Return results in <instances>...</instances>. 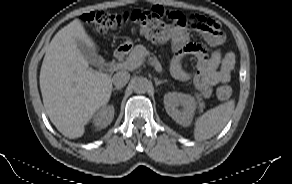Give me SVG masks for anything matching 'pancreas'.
<instances>
[{"label":"pancreas","mask_w":292,"mask_h":184,"mask_svg":"<svg viewBox=\"0 0 292 184\" xmlns=\"http://www.w3.org/2000/svg\"><path fill=\"white\" fill-rule=\"evenodd\" d=\"M149 55L148 50L143 45H136L129 54L128 60L133 62H143L144 58ZM199 110L202 111L204 108V102L202 101V97L199 94H195Z\"/></svg>","instance_id":"obj_1"}]
</instances>
